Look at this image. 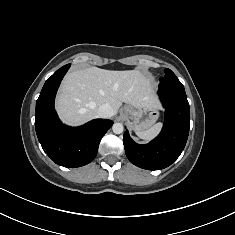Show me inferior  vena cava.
<instances>
[{"mask_svg": "<svg viewBox=\"0 0 235 235\" xmlns=\"http://www.w3.org/2000/svg\"><path fill=\"white\" fill-rule=\"evenodd\" d=\"M114 115L112 107L108 104L101 105L97 110V116L99 118H109Z\"/></svg>", "mask_w": 235, "mask_h": 235, "instance_id": "602c4592", "label": "inferior vena cava"}]
</instances>
